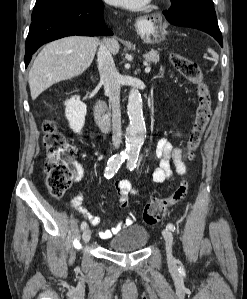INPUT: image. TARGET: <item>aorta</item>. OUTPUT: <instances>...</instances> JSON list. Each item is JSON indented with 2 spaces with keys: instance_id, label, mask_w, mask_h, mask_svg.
Wrapping results in <instances>:
<instances>
[{
  "instance_id": "obj_1",
  "label": "aorta",
  "mask_w": 247,
  "mask_h": 299,
  "mask_svg": "<svg viewBox=\"0 0 247 299\" xmlns=\"http://www.w3.org/2000/svg\"><path fill=\"white\" fill-rule=\"evenodd\" d=\"M142 108L141 94L138 89L132 88L128 97L129 124L126 128V152L130 156L138 155L145 140L146 126Z\"/></svg>"
}]
</instances>
